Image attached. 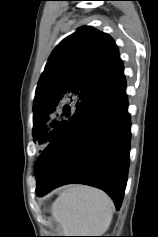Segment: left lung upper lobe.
<instances>
[{"label": "left lung upper lobe", "mask_w": 158, "mask_h": 237, "mask_svg": "<svg viewBox=\"0 0 158 237\" xmlns=\"http://www.w3.org/2000/svg\"><path fill=\"white\" fill-rule=\"evenodd\" d=\"M124 79L114 40L90 26L79 28L51 53L33 104L34 141H52L67 120L98 93ZM37 183L42 174L35 170Z\"/></svg>", "instance_id": "1"}]
</instances>
